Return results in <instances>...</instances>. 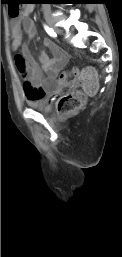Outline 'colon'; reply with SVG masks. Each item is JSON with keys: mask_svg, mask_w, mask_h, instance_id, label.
<instances>
[{"mask_svg": "<svg viewBox=\"0 0 122 257\" xmlns=\"http://www.w3.org/2000/svg\"><path fill=\"white\" fill-rule=\"evenodd\" d=\"M6 10H10L11 17H16L20 13L21 5H6ZM70 75L81 85L83 91L68 93L60 99L58 110L65 115L75 114L82 109L86 101V95L95 93L98 88L97 74L92 68L62 70V74H57L55 84H59V87L73 86Z\"/></svg>", "mask_w": 122, "mask_h": 257, "instance_id": "5ec220e1", "label": "colon"}]
</instances>
